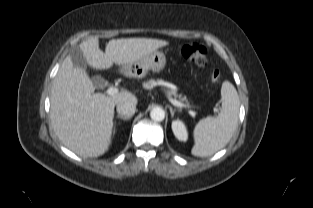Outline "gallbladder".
Instances as JSON below:
<instances>
[{
    "mask_svg": "<svg viewBox=\"0 0 313 208\" xmlns=\"http://www.w3.org/2000/svg\"><path fill=\"white\" fill-rule=\"evenodd\" d=\"M70 56L72 59V62L74 65H76L78 68L85 70L87 67V60L82 52V50L79 48V46H75L70 51ZM92 82L96 88H102L106 85V80L101 76H94L92 78Z\"/></svg>",
    "mask_w": 313,
    "mask_h": 208,
    "instance_id": "obj_1",
    "label": "gallbladder"
}]
</instances>
